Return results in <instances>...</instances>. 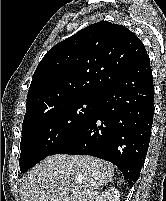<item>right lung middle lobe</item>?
<instances>
[{"instance_id":"right-lung-middle-lobe-1","label":"right lung middle lobe","mask_w":166,"mask_h":201,"mask_svg":"<svg viewBox=\"0 0 166 201\" xmlns=\"http://www.w3.org/2000/svg\"><path fill=\"white\" fill-rule=\"evenodd\" d=\"M98 96H84L24 117L20 143L22 173L49 156L95 112Z\"/></svg>"}]
</instances>
